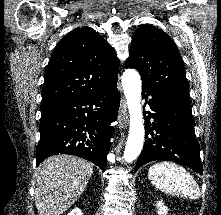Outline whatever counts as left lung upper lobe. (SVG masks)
<instances>
[{"mask_svg": "<svg viewBox=\"0 0 221 215\" xmlns=\"http://www.w3.org/2000/svg\"><path fill=\"white\" fill-rule=\"evenodd\" d=\"M125 65L138 70L142 85L190 103L183 60L175 43L162 30L150 25L139 27L133 35Z\"/></svg>", "mask_w": 221, "mask_h": 215, "instance_id": "left-lung-upper-lobe-1", "label": "left lung upper lobe"}]
</instances>
